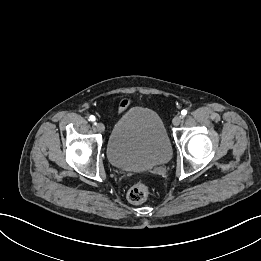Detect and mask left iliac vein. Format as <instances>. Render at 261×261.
Segmentation results:
<instances>
[{"label":"left iliac vein","mask_w":261,"mask_h":261,"mask_svg":"<svg viewBox=\"0 0 261 261\" xmlns=\"http://www.w3.org/2000/svg\"><path fill=\"white\" fill-rule=\"evenodd\" d=\"M182 119H183V117L180 116V115L175 116V117L173 118V121H172L173 125H174V126H178V125L182 122Z\"/></svg>","instance_id":"4c4485c4"}]
</instances>
